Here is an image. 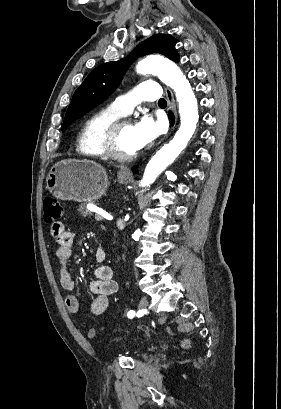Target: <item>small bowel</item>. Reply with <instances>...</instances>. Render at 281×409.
I'll list each match as a JSON object with an SVG mask.
<instances>
[{"mask_svg": "<svg viewBox=\"0 0 281 409\" xmlns=\"http://www.w3.org/2000/svg\"><path fill=\"white\" fill-rule=\"evenodd\" d=\"M51 234L58 247L56 258L60 263V285L64 290L70 291L74 288V279L69 270L73 246V234L62 222H55L51 226ZM107 251L102 245H97L94 249V258L97 262L106 259ZM95 279L89 285V292L95 296L92 311L95 315H101L108 307V299L118 290V284L114 280L113 269L108 265H99L94 270ZM67 310L76 314L80 311V302L77 297L70 295L65 298Z\"/></svg>", "mask_w": 281, "mask_h": 409, "instance_id": "small-bowel-1", "label": "small bowel"}]
</instances>
